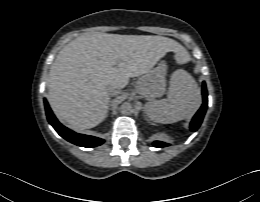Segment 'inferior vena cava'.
Masks as SVG:
<instances>
[{
  "instance_id": "602c4592",
  "label": "inferior vena cava",
  "mask_w": 260,
  "mask_h": 202,
  "mask_svg": "<svg viewBox=\"0 0 260 202\" xmlns=\"http://www.w3.org/2000/svg\"><path fill=\"white\" fill-rule=\"evenodd\" d=\"M120 88L119 87H113V88H110L109 89V95L110 96H115V95H117V94H119L120 93Z\"/></svg>"
}]
</instances>
